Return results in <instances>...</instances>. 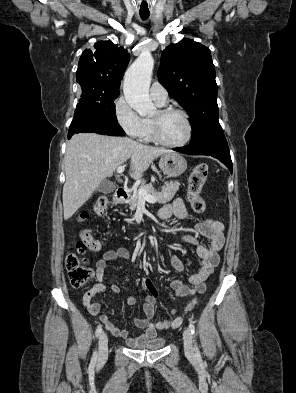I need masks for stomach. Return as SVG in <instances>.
<instances>
[{
	"mask_svg": "<svg viewBox=\"0 0 296 393\" xmlns=\"http://www.w3.org/2000/svg\"><path fill=\"white\" fill-rule=\"evenodd\" d=\"M159 167L167 177H178L187 169V162L181 155L172 152L161 156Z\"/></svg>",
	"mask_w": 296,
	"mask_h": 393,
	"instance_id": "0dacf381",
	"label": "stomach"
}]
</instances>
